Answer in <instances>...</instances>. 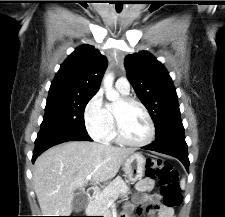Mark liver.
I'll use <instances>...</instances> for the list:
<instances>
[{
    "instance_id": "6515ba94",
    "label": "liver",
    "mask_w": 225,
    "mask_h": 217,
    "mask_svg": "<svg viewBox=\"0 0 225 217\" xmlns=\"http://www.w3.org/2000/svg\"><path fill=\"white\" fill-rule=\"evenodd\" d=\"M133 149L71 141L42 153L34 164L33 185L43 216H70L74 192L92 182L116 176Z\"/></svg>"
}]
</instances>
